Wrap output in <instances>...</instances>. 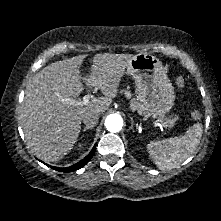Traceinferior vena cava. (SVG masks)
Wrapping results in <instances>:
<instances>
[{"mask_svg":"<svg viewBox=\"0 0 221 221\" xmlns=\"http://www.w3.org/2000/svg\"><path fill=\"white\" fill-rule=\"evenodd\" d=\"M82 120L86 126L93 127L97 124L99 120V114L96 112H88L85 115H83Z\"/></svg>","mask_w":221,"mask_h":221,"instance_id":"inferior-vena-cava-1","label":"inferior vena cava"}]
</instances>
